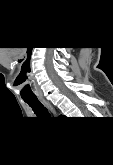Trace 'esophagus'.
Returning <instances> with one entry per match:
<instances>
[{"mask_svg":"<svg viewBox=\"0 0 113 165\" xmlns=\"http://www.w3.org/2000/svg\"><path fill=\"white\" fill-rule=\"evenodd\" d=\"M43 102H44L45 105L50 109L51 112L55 113L54 108H53L48 102H46L45 100H43Z\"/></svg>","mask_w":113,"mask_h":165,"instance_id":"esophagus-1","label":"esophagus"}]
</instances>
